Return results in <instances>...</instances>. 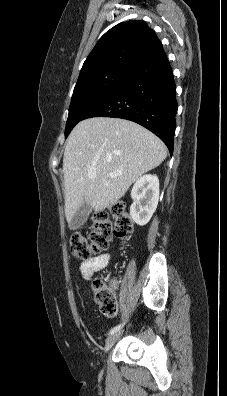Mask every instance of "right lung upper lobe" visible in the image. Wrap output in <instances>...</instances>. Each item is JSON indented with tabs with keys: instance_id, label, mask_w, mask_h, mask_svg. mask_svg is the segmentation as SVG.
<instances>
[{
	"instance_id": "cb5924a9",
	"label": "right lung upper lobe",
	"mask_w": 227,
	"mask_h": 396,
	"mask_svg": "<svg viewBox=\"0 0 227 396\" xmlns=\"http://www.w3.org/2000/svg\"><path fill=\"white\" fill-rule=\"evenodd\" d=\"M162 50L160 40L145 21L119 23L97 42L82 66L78 81L110 68L133 70Z\"/></svg>"
}]
</instances>
